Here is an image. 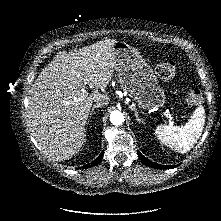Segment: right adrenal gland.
<instances>
[{
  "label": "right adrenal gland",
  "mask_w": 221,
  "mask_h": 221,
  "mask_svg": "<svg viewBox=\"0 0 221 221\" xmlns=\"http://www.w3.org/2000/svg\"><path fill=\"white\" fill-rule=\"evenodd\" d=\"M99 107H101L99 104L93 105L92 110L90 111V115H93L94 110Z\"/></svg>",
  "instance_id": "obj_1"
}]
</instances>
